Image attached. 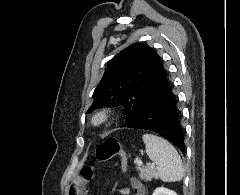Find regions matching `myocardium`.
I'll return each mask as SVG.
<instances>
[{
    "label": "myocardium",
    "mask_w": 240,
    "mask_h": 195,
    "mask_svg": "<svg viewBox=\"0 0 240 195\" xmlns=\"http://www.w3.org/2000/svg\"><path fill=\"white\" fill-rule=\"evenodd\" d=\"M105 119H106V112H105V111L97 112V113L91 118V123H92L94 126H97V125L101 124Z\"/></svg>",
    "instance_id": "myocardium-1"
}]
</instances>
